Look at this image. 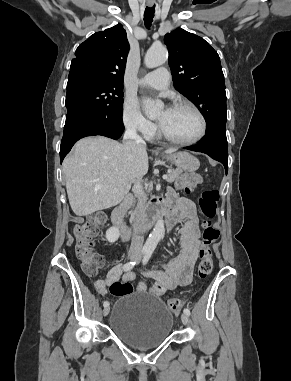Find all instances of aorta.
I'll use <instances>...</instances> for the list:
<instances>
[{
  "label": "aorta",
  "instance_id": "obj_1",
  "mask_svg": "<svg viewBox=\"0 0 291 381\" xmlns=\"http://www.w3.org/2000/svg\"><path fill=\"white\" fill-rule=\"evenodd\" d=\"M168 58V51L164 46L159 47H151L144 58V63L148 68H155L162 65ZM144 104L146 106V114L148 117L152 118L159 114L160 109L162 107L161 103L154 102L150 99L144 100ZM164 233V220L160 218L151 234L149 235L146 241V248L154 250L160 241L162 235Z\"/></svg>",
  "mask_w": 291,
  "mask_h": 381
}]
</instances>
